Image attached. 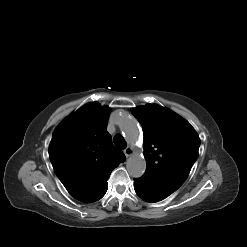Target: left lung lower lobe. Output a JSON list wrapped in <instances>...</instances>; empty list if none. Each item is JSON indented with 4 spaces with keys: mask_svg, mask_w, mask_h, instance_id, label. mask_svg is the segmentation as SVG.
I'll return each instance as SVG.
<instances>
[{
    "mask_svg": "<svg viewBox=\"0 0 247 247\" xmlns=\"http://www.w3.org/2000/svg\"><path fill=\"white\" fill-rule=\"evenodd\" d=\"M134 189L136 194L147 202H158L165 199L169 195L157 190L152 185H150L142 177L139 179H134Z\"/></svg>",
    "mask_w": 247,
    "mask_h": 247,
    "instance_id": "left-lung-lower-lobe-1",
    "label": "left lung lower lobe"
}]
</instances>
